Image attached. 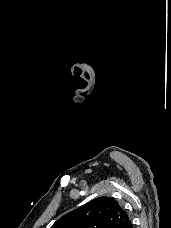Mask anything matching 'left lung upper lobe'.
Returning <instances> with one entry per match:
<instances>
[{
    "mask_svg": "<svg viewBox=\"0 0 171 228\" xmlns=\"http://www.w3.org/2000/svg\"><path fill=\"white\" fill-rule=\"evenodd\" d=\"M128 220L114 198L98 197L62 216L51 228H122Z\"/></svg>",
    "mask_w": 171,
    "mask_h": 228,
    "instance_id": "left-lung-upper-lobe-1",
    "label": "left lung upper lobe"
}]
</instances>
